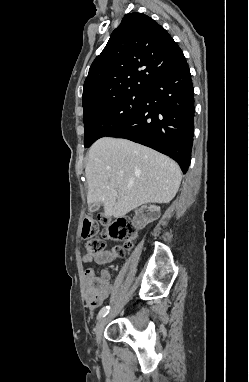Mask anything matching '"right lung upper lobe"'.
<instances>
[{
	"label": "right lung upper lobe",
	"instance_id": "1",
	"mask_svg": "<svg viewBox=\"0 0 249 382\" xmlns=\"http://www.w3.org/2000/svg\"><path fill=\"white\" fill-rule=\"evenodd\" d=\"M185 61L168 32L149 16L129 13L92 63L83 88V108L145 91Z\"/></svg>",
	"mask_w": 249,
	"mask_h": 382
}]
</instances>
